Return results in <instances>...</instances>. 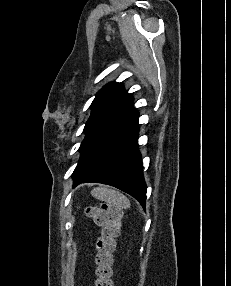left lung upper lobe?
I'll return each instance as SVG.
<instances>
[{
	"label": "left lung upper lobe",
	"instance_id": "obj_1",
	"mask_svg": "<svg viewBox=\"0 0 231 286\" xmlns=\"http://www.w3.org/2000/svg\"><path fill=\"white\" fill-rule=\"evenodd\" d=\"M130 97L131 94L124 90L121 83L113 82L103 87L91 104L92 113L85 125L84 132H88Z\"/></svg>",
	"mask_w": 231,
	"mask_h": 286
}]
</instances>
